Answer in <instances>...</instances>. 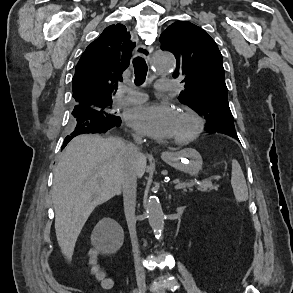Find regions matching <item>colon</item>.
I'll list each match as a JSON object with an SVG mask.
<instances>
[{"label": "colon", "mask_w": 293, "mask_h": 293, "mask_svg": "<svg viewBox=\"0 0 293 293\" xmlns=\"http://www.w3.org/2000/svg\"><path fill=\"white\" fill-rule=\"evenodd\" d=\"M95 256H96V252L94 250H90L88 255V260L86 262V269L103 286L106 278L104 276V273L97 266L95 262Z\"/></svg>", "instance_id": "1"}]
</instances>
